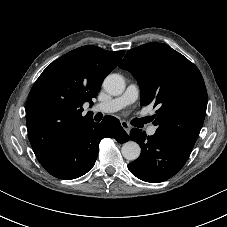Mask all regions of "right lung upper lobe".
<instances>
[{
	"instance_id": "right-lung-upper-lobe-1",
	"label": "right lung upper lobe",
	"mask_w": 227,
	"mask_h": 227,
	"mask_svg": "<svg viewBox=\"0 0 227 227\" xmlns=\"http://www.w3.org/2000/svg\"><path fill=\"white\" fill-rule=\"evenodd\" d=\"M124 53L83 46L61 56L42 72L26 104L28 136L39 162L93 120L89 114L82 115V106L85 102L92 104L104 78Z\"/></svg>"
}]
</instances>
